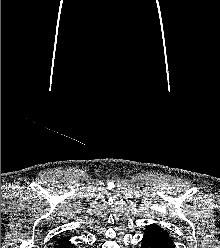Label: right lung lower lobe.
Wrapping results in <instances>:
<instances>
[{"mask_svg": "<svg viewBox=\"0 0 220 248\" xmlns=\"http://www.w3.org/2000/svg\"><path fill=\"white\" fill-rule=\"evenodd\" d=\"M73 245L70 244L68 239L62 238L57 242V245L55 248H72Z\"/></svg>", "mask_w": 220, "mask_h": 248, "instance_id": "right-lung-lower-lobe-1", "label": "right lung lower lobe"}]
</instances>
